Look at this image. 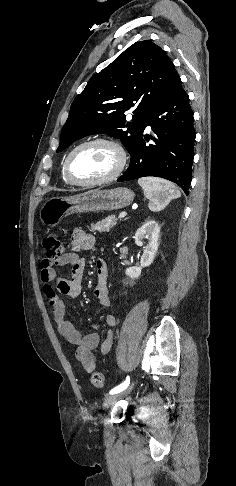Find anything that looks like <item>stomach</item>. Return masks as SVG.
<instances>
[{
	"label": "stomach",
	"instance_id": "obj_1",
	"mask_svg": "<svg viewBox=\"0 0 236 486\" xmlns=\"http://www.w3.org/2000/svg\"><path fill=\"white\" fill-rule=\"evenodd\" d=\"M134 193L128 188L91 190L72 197H53L41 207L39 218L43 225L53 228L73 213L112 211L129 206Z\"/></svg>",
	"mask_w": 236,
	"mask_h": 486
}]
</instances>
